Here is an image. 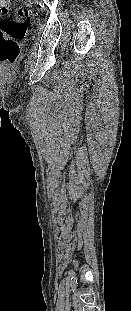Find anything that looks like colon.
<instances>
[{
	"instance_id": "1",
	"label": "colon",
	"mask_w": 131,
	"mask_h": 311,
	"mask_svg": "<svg viewBox=\"0 0 131 311\" xmlns=\"http://www.w3.org/2000/svg\"><path fill=\"white\" fill-rule=\"evenodd\" d=\"M30 22L23 7L10 9V0H0V63L12 64L17 59L21 40Z\"/></svg>"
}]
</instances>
